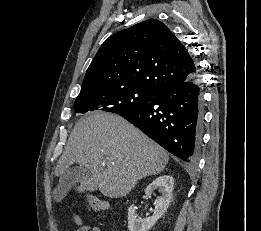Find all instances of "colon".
<instances>
[{
	"label": "colon",
	"mask_w": 261,
	"mask_h": 231,
	"mask_svg": "<svg viewBox=\"0 0 261 231\" xmlns=\"http://www.w3.org/2000/svg\"><path fill=\"white\" fill-rule=\"evenodd\" d=\"M87 203L90 205L91 208L99 211H107L109 210V205L104 202L94 198H88Z\"/></svg>",
	"instance_id": "colon-1"
}]
</instances>
